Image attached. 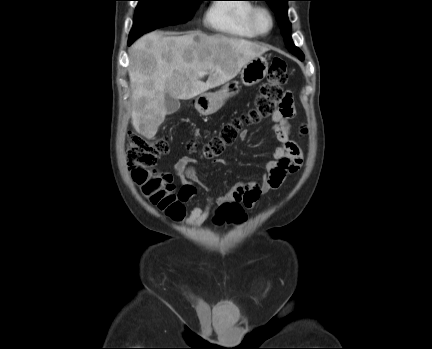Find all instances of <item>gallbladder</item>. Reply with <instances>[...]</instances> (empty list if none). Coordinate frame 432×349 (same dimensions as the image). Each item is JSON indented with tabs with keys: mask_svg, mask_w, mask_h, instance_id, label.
<instances>
[{
	"mask_svg": "<svg viewBox=\"0 0 432 349\" xmlns=\"http://www.w3.org/2000/svg\"><path fill=\"white\" fill-rule=\"evenodd\" d=\"M165 107L168 115L177 112L180 108V102L178 99L171 97L169 94L165 95Z\"/></svg>",
	"mask_w": 432,
	"mask_h": 349,
	"instance_id": "gallbladder-1",
	"label": "gallbladder"
}]
</instances>
